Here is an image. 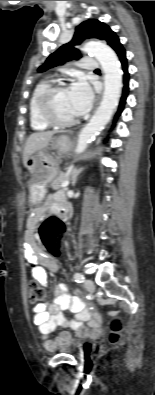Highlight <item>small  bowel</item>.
Segmentation results:
<instances>
[{"instance_id": "1", "label": "small bowel", "mask_w": 155, "mask_h": 395, "mask_svg": "<svg viewBox=\"0 0 155 395\" xmlns=\"http://www.w3.org/2000/svg\"><path fill=\"white\" fill-rule=\"evenodd\" d=\"M62 209H65L64 195L62 192L54 193L31 214L30 225L34 226L50 214L58 215ZM24 257L31 266L33 279L40 285L46 286L48 284L47 270L56 272L58 265L50 255L35 245L32 235L26 238ZM55 294L56 297L50 305L39 303L33 308V323L38 327L45 349L53 350L74 336L85 338L100 333L101 316L87 307L79 297L68 294L65 284L57 285ZM65 310H71L75 313V317L66 318L63 314ZM59 326L64 330L55 339H51L50 335Z\"/></svg>"}]
</instances>
